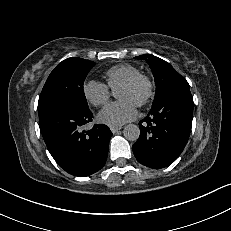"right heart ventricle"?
Wrapping results in <instances>:
<instances>
[{
	"instance_id": "obj_1",
	"label": "right heart ventricle",
	"mask_w": 231,
	"mask_h": 231,
	"mask_svg": "<svg viewBox=\"0 0 231 231\" xmlns=\"http://www.w3.org/2000/svg\"><path fill=\"white\" fill-rule=\"evenodd\" d=\"M137 67L131 64H118L112 66L104 73L106 85L108 88L115 89L119 87L124 81L139 74Z\"/></svg>"
}]
</instances>
